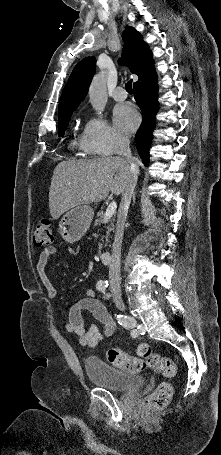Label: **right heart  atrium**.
Instances as JSON below:
<instances>
[{
    "label": "right heart atrium",
    "mask_w": 221,
    "mask_h": 455,
    "mask_svg": "<svg viewBox=\"0 0 221 455\" xmlns=\"http://www.w3.org/2000/svg\"><path fill=\"white\" fill-rule=\"evenodd\" d=\"M83 151L88 155H112L125 142V137L100 117H90L82 130Z\"/></svg>",
    "instance_id": "obj_1"
}]
</instances>
